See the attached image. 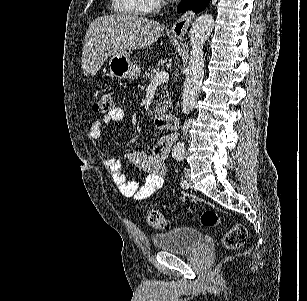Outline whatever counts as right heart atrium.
I'll list each match as a JSON object with an SVG mask.
<instances>
[{"label": "right heart atrium", "instance_id": "right-heart-atrium-1", "mask_svg": "<svg viewBox=\"0 0 307 301\" xmlns=\"http://www.w3.org/2000/svg\"><path fill=\"white\" fill-rule=\"evenodd\" d=\"M158 5H159L158 0H151L150 4L144 5V10L145 11H154L155 7H158Z\"/></svg>", "mask_w": 307, "mask_h": 301}]
</instances>
